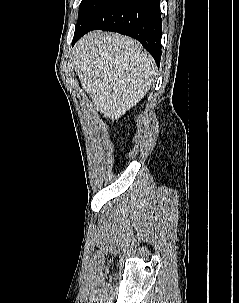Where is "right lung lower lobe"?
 <instances>
[{"instance_id":"right-lung-lower-lobe-1","label":"right lung lower lobe","mask_w":239,"mask_h":303,"mask_svg":"<svg viewBox=\"0 0 239 303\" xmlns=\"http://www.w3.org/2000/svg\"><path fill=\"white\" fill-rule=\"evenodd\" d=\"M95 29L114 31L137 39L159 66L162 34L160 0H107L88 24L74 33L72 45Z\"/></svg>"}]
</instances>
